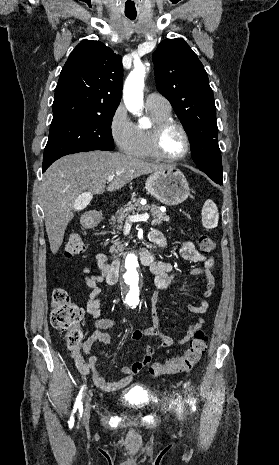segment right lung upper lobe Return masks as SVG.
<instances>
[{"label": "right lung upper lobe", "instance_id": "cb5924a9", "mask_svg": "<svg viewBox=\"0 0 279 465\" xmlns=\"http://www.w3.org/2000/svg\"><path fill=\"white\" fill-rule=\"evenodd\" d=\"M121 57L100 41H81L55 89L52 124L116 110L122 96Z\"/></svg>", "mask_w": 279, "mask_h": 465}]
</instances>
